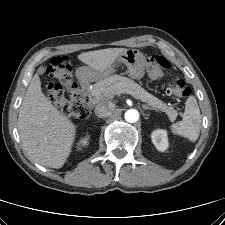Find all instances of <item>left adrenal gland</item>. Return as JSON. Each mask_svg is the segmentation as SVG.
<instances>
[{"label": "left adrenal gland", "instance_id": "a2214340", "mask_svg": "<svg viewBox=\"0 0 225 225\" xmlns=\"http://www.w3.org/2000/svg\"><path fill=\"white\" fill-rule=\"evenodd\" d=\"M143 108L146 109V110H152L153 108L147 106V105H143Z\"/></svg>", "mask_w": 225, "mask_h": 225}]
</instances>
